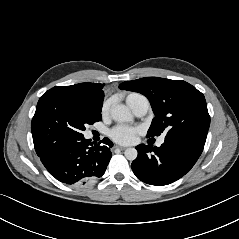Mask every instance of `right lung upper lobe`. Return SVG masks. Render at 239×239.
<instances>
[{"label": "right lung upper lobe", "mask_w": 239, "mask_h": 239, "mask_svg": "<svg viewBox=\"0 0 239 239\" xmlns=\"http://www.w3.org/2000/svg\"><path fill=\"white\" fill-rule=\"evenodd\" d=\"M58 87H64L81 94L92 96L102 102L104 99V92L102 91L104 84L88 82V83H80V84H76L72 86H58Z\"/></svg>", "instance_id": "cb5924a9"}]
</instances>
